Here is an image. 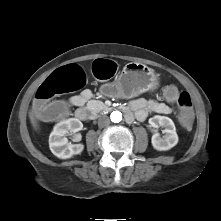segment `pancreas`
I'll list each match as a JSON object with an SVG mask.
<instances>
[{"label":"pancreas","instance_id":"1","mask_svg":"<svg viewBox=\"0 0 221 221\" xmlns=\"http://www.w3.org/2000/svg\"><path fill=\"white\" fill-rule=\"evenodd\" d=\"M87 105L94 113H100L101 111L108 109L107 106L99 100H91Z\"/></svg>","mask_w":221,"mask_h":221}]
</instances>
